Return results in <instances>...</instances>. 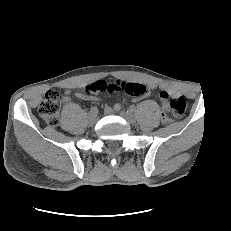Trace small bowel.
Here are the masks:
<instances>
[{"mask_svg":"<svg viewBox=\"0 0 231 231\" xmlns=\"http://www.w3.org/2000/svg\"><path fill=\"white\" fill-rule=\"evenodd\" d=\"M142 85H143V84H142ZM144 86H145V85H144ZM146 87H147V89H148V92H147L144 96L136 97V98L139 99V98L147 97V96L149 95V93H150V89L157 88V84H155V83H150V84H149L148 86H146ZM77 96L82 98V97L85 96V94L78 93ZM66 99L69 100L70 97H66ZM118 109H119V105H118V104H115L114 107H106V112L111 113V112L116 111V110H118ZM165 120L167 121V118H165Z\"/></svg>","mask_w":231,"mask_h":231,"instance_id":"c3829d8e","label":"small bowel"}]
</instances>
